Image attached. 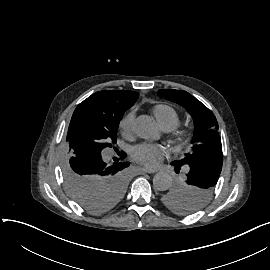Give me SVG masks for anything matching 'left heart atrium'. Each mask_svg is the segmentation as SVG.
Listing matches in <instances>:
<instances>
[{
  "mask_svg": "<svg viewBox=\"0 0 270 270\" xmlns=\"http://www.w3.org/2000/svg\"><path fill=\"white\" fill-rule=\"evenodd\" d=\"M164 154V148L144 144L135 150L134 159L141 162L147 168H155L159 164Z\"/></svg>",
  "mask_w": 270,
  "mask_h": 270,
  "instance_id": "obj_1",
  "label": "left heart atrium"
}]
</instances>
